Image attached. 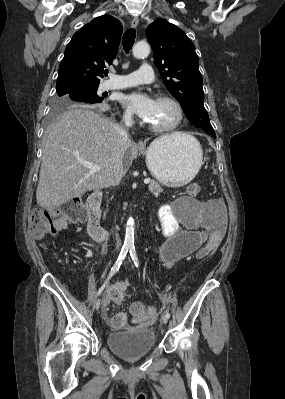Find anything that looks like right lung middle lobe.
Masks as SVG:
<instances>
[{
    "label": "right lung middle lobe",
    "instance_id": "1",
    "mask_svg": "<svg viewBox=\"0 0 285 399\" xmlns=\"http://www.w3.org/2000/svg\"><path fill=\"white\" fill-rule=\"evenodd\" d=\"M98 87L89 89L57 90V97L53 105L52 116H56L65 109L75 107H104L103 97L97 95Z\"/></svg>",
    "mask_w": 285,
    "mask_h": 399
}]
</instances>
